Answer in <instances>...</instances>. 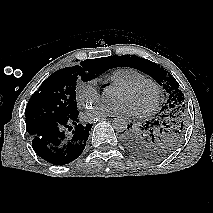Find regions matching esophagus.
I'll return each mask as SVG.
<instances>
[{"mask_svg": "<svg viewBox=\"0 0 213 213\" xmlns=\"http://www.w3.org/2000/svg\"><path fill=\"white\" fill-rule=\"evenodd\" d=\"M118 119L117 116H108V117H103V118H100L99 120H108V121H114Z\"/></svg>", "mask_w": 213, "mask_h": 213, "instance_id": "esophagus-1", "label": "esophagus"}]
</instances>
